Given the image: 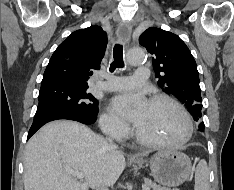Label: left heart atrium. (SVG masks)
Returning <instances> with one entry per match:
<instances>
[{
    "mask_svg": "<svg viewBox=\"0 0 234 190\" xmlns=\"http://www.w3.org/2000/svg\"><path fill=\"white\" fill-rule=\"evenodd\" d=\"M149 102L139 93H127L116 96L111 103L113 112L135 125L143 118Z\"/></svg>",
    "mask_w": 234,
    "mask_h": 190,
    "instance_id": "1",
    "label": "left heart atrium"
}]
</instances>
